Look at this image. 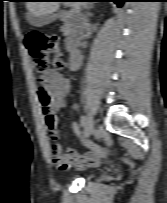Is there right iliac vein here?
Instances as JSON below:
<instances>
[{
  "instance_id": "1",
  "label": "right iliac vein",
  "mask_w": 167,
  "mask_h": 203,
  "mask_svg": "<svg viewBox=\"0 0 167 203\" xmlns=\"http://www.w3.org/2000/svg\"><path fill=\"white\" fill-rule=\"evenodd\" d=\"M95 120L92 115H88L87 117V126L85 128V137H90L94 131Z\"/></svg>"
}]
</instances>
